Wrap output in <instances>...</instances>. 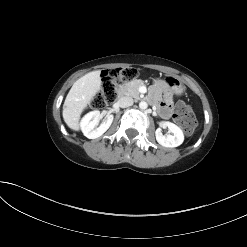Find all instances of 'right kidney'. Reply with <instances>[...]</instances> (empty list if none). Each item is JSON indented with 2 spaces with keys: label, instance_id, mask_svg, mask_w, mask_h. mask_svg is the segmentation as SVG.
<instances>
[{
  "label": "right kidney",
  "instance_id": "obj_1",
  "mask_svg": "<svg viewBox=\"0 0 247 247\" xmlns=\"http://www.w3.org/2000/svg\"><path fill=\"white\" fill-rule=\"evenodd\" d=\"M101 118L99 111H91L87 113L81 120L80 126L83 134L89 139H95L103 135L111 126L114 116L112 114H107L105 116V121L96 128L98 122Z\"/></svg>",
  "mask_w": 247,
  "mask_h": 247
}]
</instances>
